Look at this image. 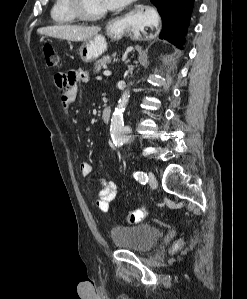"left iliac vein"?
Segmentation results:
<instances>
[{
	"mask_svg": "<svg viewBox=\"0 0 247 299\" xmlns=\"http://www.w3.org/2000/svg\"><path fill=\"white\" fill-rule=\"evenodd\" d=\"M148 184L152 189H156L158 186L157 179L155 175L151 172H148Z\"/></svg>",
	"mask_w": 247,
	"mask_h": 299,
	"instance_id": "1",
	"label": "left iliac vein"
}]
</instances>
